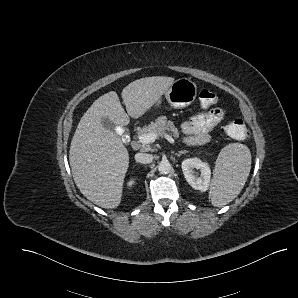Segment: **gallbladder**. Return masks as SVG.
<instances>
[{"mask_svg":"<svg viewBox=\"0 0 298 298\" xmlns=\"http://www.w3.org/2000/svg\"><path fill=\"white\" fill-rule=\"evenodd\" d=\"M101 124L109 130L115 129V124L112 121H110L107 117L102 118Z\"/></svg>","mask_w":298,"mask_h":298,"instance_id":"gallbladder-1","label":"gallbladder"}]
</instances>
